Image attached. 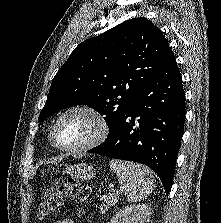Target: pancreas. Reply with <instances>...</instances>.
I'll use <instances>...</instances> for the list:
<instances>
[{
  "instance_id": "1",
  "label": "pancreas",
  "mask_w": 221,
  "mask_h": 223,
  "mask_svg": "<svg viewBox=\"0 0 221 223\" xmlns=\"http://www.w3.org/2000/svg\"><path fill=\"white\" fill-rule=\"evenodd\" d=\"M103 200L105 204L100 205V211L102 214H104L110 206H113L115 204V202L117 201V196L116 194L112 193L110 195L104 196Z\"/></svg>"
}]
</instances>
